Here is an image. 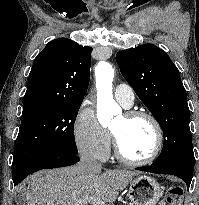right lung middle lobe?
<instances>
[{
    "mask_svg": "<svg viewBox=\"0 0 199 205\" xmlns=\"http://www.w3.org/2000/svg\"><path fill=\"white\" fill-rule=\"evenodd\" d=\"M82 103H58L23 111L13 165L48 151L76 155L74 123Z\"/></svg>",
    "mask_w": 199,
    "mask_h": 205,
    "instance_id": "obj_1",
    "label": "right lung middle lobe"
}]
</instances>
